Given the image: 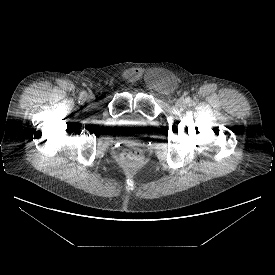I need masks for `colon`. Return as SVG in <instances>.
<instances>
[{
  "instance_id": "5ec220e1",
  "label": "colon",
  "mask_w": 275,
  "mask_h": 275,
  "mask_svg": "<svg viewBox=\"0 0 275 275\" xmlns=\"http://www.w3.org/2000/svg\"><path fill=\"white\" fill-rule=\"evenodd\" d=\"M122 161L128 167L139 166L143 162L142 152L137 148H131L122 154Z\"/></svg>"
}]
</instances>
